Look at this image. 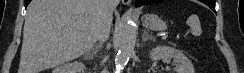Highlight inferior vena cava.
Instances as JSON below:
<instances>
[{
  "instance_id": "1",
  "label": "inferior vena cava",
  "mask_w": 244,
  "mask_h": 73,
  "mask_svg": "<svg viewBox=\"0 0 244 73\" xmlns=\"http://www.w3.org/2000/svg\"><path fill=\"white\" fill-rule=\"evenodd\" d=\"M118 4V0H100V28L97 40L100 42L105 41L110 34L112 23V14ZM106 73V70L103 71Z\"/></svg>"
}]
</instances>
